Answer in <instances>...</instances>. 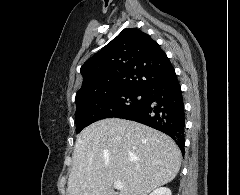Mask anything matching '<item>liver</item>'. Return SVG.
Masks as SVG:
<instances>
[{"instance_id": "obj_1", "label": "liver", "mask_w": 240, "mask_h": 195, "mask_svg": "<svg viewBox=\"0 0 240 195\" xmlns=\"http://www.w3.org/2000/svg\"><path fill=\"white\" fill-rule=\"evenodd\" d=\"M69 195H147L177 175L181 151L166 133L119 117L99 119L78 133ZM114 181L123 189L115 191Z\"/></svg>"}]
</instances>
